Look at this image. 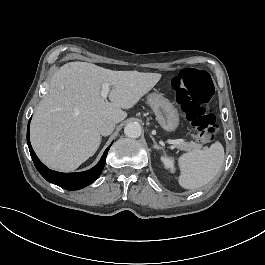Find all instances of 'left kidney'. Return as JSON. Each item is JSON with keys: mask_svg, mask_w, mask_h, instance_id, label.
<instances>
[{"mask_svg": "<svg viewBox=\"0 0 265 265\" xmlns=\"http://www.w3.org/2000/svg\"><path fill=\"white\" fill-rule=\"evenodd\" d=\"M161 161L164 164L165 169H169L171 173L175 172V167H174V159L167 157V156H162Z\"/></svg>", "mask_w": 265, "mask_h": 265, "instance_id": "5707ae66", "label": "left kidney"}]
</instances>
